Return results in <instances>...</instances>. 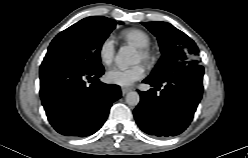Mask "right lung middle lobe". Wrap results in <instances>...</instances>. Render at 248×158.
I'll return each mask as SVG.
<instances>
[{
	"instance_id": "1",
	"label": "right lung middle lobe",
	"mask_w": 248,
	"mask_h": 158,
	"mask_svg": "<svg viewBox=\"0 0 248 158\" xmlns=\"http://www.w3.org/2000/svg\"><path fill=\"white\" fill-rule=\"evenodd\" d=\"M112 19L92 16L60 32L51 42L43 62L70 63L84 68L102 66V44L115 28Z\"/></svg>"
}]
</instances>
